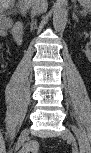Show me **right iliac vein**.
Returning <instances> with one entry per match:
<instances>
[{
    "instance_id": "63e3f726",
    "label": "right iliac vein",
    "mask_w": 91,
    "mask_h": 153,
    "mask_svg": "<svg viewBox=\"0 0 91 153\" xmlns=\"http://www.w3.org/2000/svg\"><path fill=\"white\" fill-rule=\"evenodd\" d=\"M28 135H29V130L28 129H24L21 132V134L18 138L15 150H18L21 147V145L24 143V141L28 137Z\"/></svg>"
}]
</instances>
